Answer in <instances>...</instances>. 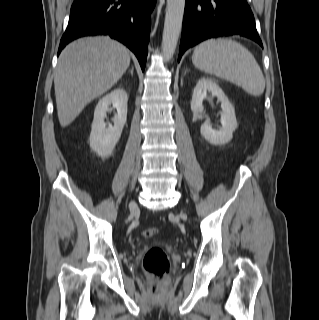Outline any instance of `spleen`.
I'll return each instance as SVG.
<instances>
[{
  "label": "spleen",
  "mask_w": 319,
  "mask_h": 320,
  "mask_svg": "<svg viewBox=\"0 0 319 320\" xmlns=\"http://www.w3.org/2000/svg\"><path fill=\"white\" fill-rule=\"evenodd\" d=\"M192 62L201 71L226 79L250 95L260 96L265 90V79L256 59L236 41H203L195 47Z\"/></svg>",
  "instance_id": "3e777b00"
}]
</instances>
